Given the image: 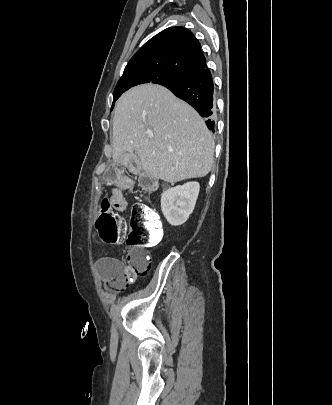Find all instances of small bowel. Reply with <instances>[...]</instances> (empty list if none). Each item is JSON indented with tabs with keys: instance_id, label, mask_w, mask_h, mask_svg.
Returning <instances> with one entry per match:
<instances>
[{
	"instance_id": "c3829d8e",
	"label": "small bowel",
	"mask_w": 332,
	"mask_h": 405,
	"mask_svg": "<svg viewBox=\"0 0 332 405\" xmlns=\"http://www.w3.org/2000/svg\"><path fill=\"white\" fill-rule=\"evenodd\" d=\"M123 168V162H108L106 171L102 174V186H120L123 179ZM123 197L121 190L115 189L109 199L110 206H113V210L118 211L120 214L126 210V202ZM96 266L101 276L108 282L115 280L119 274H124V279L120 281L121 286L126 279L132 277V274H127L125 267L116 258H99L96 261Z\"/></svg>"
}]
</instances>
